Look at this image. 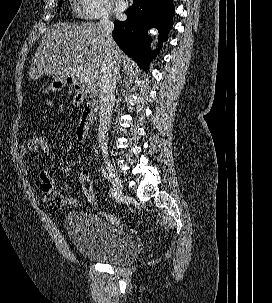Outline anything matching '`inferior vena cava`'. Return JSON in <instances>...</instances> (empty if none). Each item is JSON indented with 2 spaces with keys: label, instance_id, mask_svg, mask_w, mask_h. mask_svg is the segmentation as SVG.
I'll list each match as a JSON object with an SVG mask.
<instances>
[{
  "label": "inferior vena cava",
  "instance_id": "602c4592",
  "mask_svg": "<svg viewBox=\"0 0 272 303\" xmlns=\"http://www.w3.org/2000/svg\"><path fill=\"white\" fill-rule=\"evenodd\" d=\"M99 25L105 37L104 59L101 63V74L99 77V129L98 141L103 157L108 156V132L111 123L112 109L115 99L116 79L118 68L114 58L113 46L115 42L112 38L114 24L108 15H104Z\"/></svg>",
  "mask_w": 272,
  "mask_h": 303
}]
</instances>
